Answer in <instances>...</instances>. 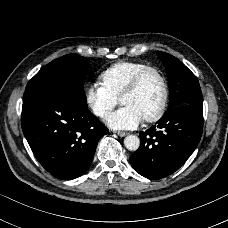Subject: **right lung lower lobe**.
<instances>
[{
    "instance_id": "right-lung-lower-lobe-1",
    "label": "right lung lower lobe",
    "mask_w": 228,
    "mask_h": 228,
    "mask_svg": "<svg viewBox=\"0 0 228 228\" xmlns=\"http://www.w3.org/2000/svg\"><path fill=\"white\" fill-rule=\"evenodd\" d=\"M21 125L36 159L62 180L88 169L99 139L108 133L87 103L51 89L24 93Z\"/></svg>"
}]
</instances>
